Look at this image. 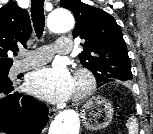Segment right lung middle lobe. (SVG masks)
<instances>
[{
	"mask_svg": "<svg viewBox=\"0 0 153 134\" xmlns=\"http://www.w3.org/2000/svg\"><path fill=\"white\" fill-rule=\"evenodd\" d=\"M9 69L0 70V80H5L8 83H12L8 78Z\"/></svg>",
	"mask_w": 153,
	"mask_h": 134,
	"instance_id": "1",
	"label": "right lung middle lobe"
}]
</instances>
